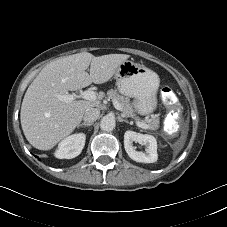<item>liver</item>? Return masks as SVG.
<instances>
[{"label": "liver", "instance_id": "liver-1", "mask_svg": "<svg viewBox=\"0 0 227 227\" xmlns=\"http://www.w3.org/2000/svg\"><path fill=\"white\" fill-rule=\"evenodd\" d=\"M129 57L126 54L95 57L81 52L47 64L29 85L22 101L20 120L28 142L39 150H50L71 134L85 111L98 106L104 94L99 93L95 101L70 103L59 100L57 95L109 81Z\"/></svg>", "mask_w": 227, "mask_h": 227}]
</instances>
